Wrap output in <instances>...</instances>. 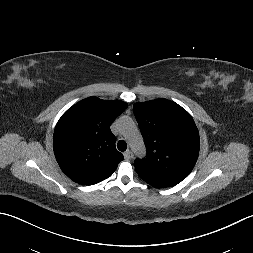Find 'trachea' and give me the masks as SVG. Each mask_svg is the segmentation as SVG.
<instances>
[{
	"label": "trachea",
	"instance_id": "obj_1",
	"mask_svg": "<svg viewBox=\"0 0 253 253\" xmlns=\"http://www.w3.org/2000/svg\"><path fill=\"white\" fill-rule=\"evenodd\" d=\"M118 150L124 152L127 149V143L124 140H119L117 143Z\"/></svg>",
	"mask_w": 253,
	"mask_h": 253
}]
</instances>
